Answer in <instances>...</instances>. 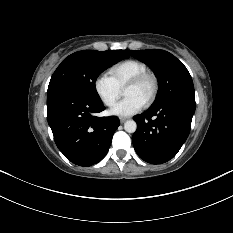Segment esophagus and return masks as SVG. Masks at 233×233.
I'll use <instances>...</instances> for the list:
<instances>
[{
	"label": "esophagus",
	"mask_w": 233,
	"mask_h": 233,
	"mask_svg": "<svg viewBox=\"0 0 233 233\" xmlns=\"http://www.w3.org/2000/svg\"><path fill=\"white\" fill-rule=\"evenodd\" d=\"M119 120H120V123H124L127 119L124 117H120Z\"/></svg>",
	"instance_id": "1"
}]
</instances>
